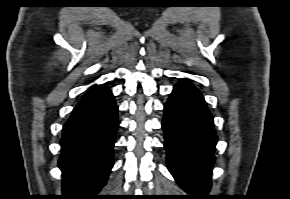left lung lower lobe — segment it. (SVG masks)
<instances>
[{
    "label": "left lung lower lobe",
    "instance_id": "1",
    "mask_svg": "<svg viewBox=\"0 0 290 199\" xmlns=\"http://www.w3.org/2000/svg\"><path fill=\"white\" fill-rule=\"evenodd\" d=\"M162 127L169 171L187 192L206 196L217 136L202 94L187 79L174 86L164 108Z\"/></svg>",
    "mask_w": 290,
    "mask_h": 199
}]
</instances>
